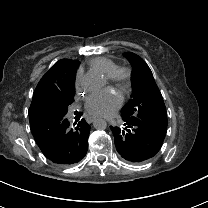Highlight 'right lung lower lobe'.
I'll return each mask as SVG.
<instances>
[{
  "label": "right lung lower lobe",
  "mask_w": 208,
  "mask_h": 208,
  "mask_svg": "<svg viewBox=\"0 0 208 208\" xmlns=\"http://www.w3.org/2000/svg\"><path fill=\"white\" fill-rule=\"evenodd\" d=\"M32 134L42 153L52 162L69 165L87 153L90 126L82 119L74 129L65 116H46L38 109L29 112Z\"/></svg>",
  "instance_id": "98d812e1"
}]
</instances>
